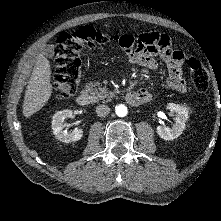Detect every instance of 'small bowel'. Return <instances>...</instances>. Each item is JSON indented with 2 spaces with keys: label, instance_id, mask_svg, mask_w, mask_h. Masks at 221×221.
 Wrapping results in <instances>:
<instances>
[{
  "label": "small bowel",
  "instance_id": "obj_1",
  "mask_svg": "<svg viewBox=\"0 0 221 221\" xmlns=\"http://www.w3.org/2000/svg\"><path fill=\"white\" fill-rule=\"evenodd\" d=\"M126 40L120 43L130 63L150 69H157L156 57H160L169 69L167 84L178 92H186L187 84L182 74L184 55L181 51L172 47L171 39L166 34L147 32L137 38L131 35H123ZM147 101L151 94L147 89L138 91ZM146 101V102H147Z\"/></svg>",
  "mask_w": 221,
  "mask_h": 221
}]
</instances>
